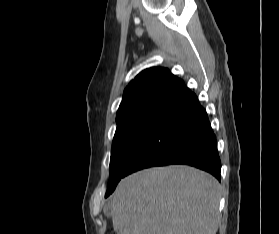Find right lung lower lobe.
I'll return each mask as SVG.
<instances>
[{"instance_id":"obj_1","label":"right lung lower lobe","mask_w":279,"mask_h":234,"mask_svg":"<svg viewBox=\"0 0 279 234\" xmlns=\"http://www.w3.org/2000/svg\"><path fill=\"white\" fill-rule=\"evenodd\" d=\"M170 164L194 166L220 180L216 137L205 109L191 91L171 107L141 144L128 163L125 176Z\"/></svg>"}]
</instances>
